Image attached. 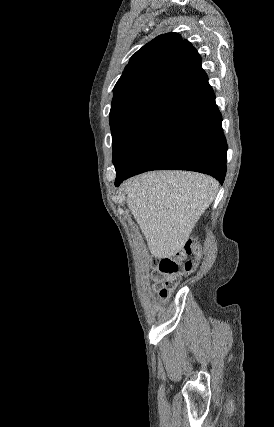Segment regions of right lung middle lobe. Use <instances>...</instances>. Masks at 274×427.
Here are the masks:
<instances>
[{"mask_svg": "<svg viewBox=\"0 0 274 427\" xmlns=\"http://www.w3.org/2000/svg\"><path fill=\"white\" fill-rule=\"evenodd\" d=\"M174 104L161 95H151L110 111L115 166H128L137 157Z\"/></svg>", "mask_w": 274, "mask_h": 427, "instance_id": "obj_1", "label": "right lung middle lobe"}]
</instances>
